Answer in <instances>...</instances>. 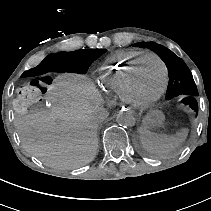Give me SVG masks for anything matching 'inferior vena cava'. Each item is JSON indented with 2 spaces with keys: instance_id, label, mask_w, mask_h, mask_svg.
Masks as SVG:
<instances>
[{
  "instance_id": "obj_1",
  "label": "inferior vena cava",
  "mask_w": 211,
  "mask_h": 211,
  "mask_svg": "<svg viewBox=\"0 0 211 211\" xmlns=\"http://www.w3.org/2000/svg\"><path fill=\"white\" fill-rule=\"evenodd\" d=\"M99 116H100V119H104L106 117V111L102 108L99 109Z\"/></svg>"
}]
</instances>
